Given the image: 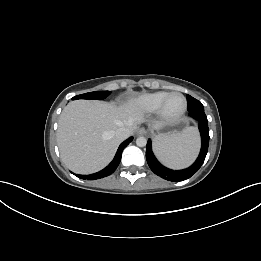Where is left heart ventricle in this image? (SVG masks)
I'll list each match as a JSON object with an SVG mask.
<instances>
[{"instance_id": "left-heart-ventricle-1", "label": "left heart ventricle", "mask_w": 261, "mask_h": 261, "mask_svg": "<svg viewBox=\"0 0 261 261\" xmlns=\"http://www.w3.org/2000/svg\"><path fill=\"white\" fill-rule=\"evenodd\" d=\"M183 107V98L180 95H174L169 98L166 104V111L169 114L178 113Z\"/></svg>"}]
</instances>
